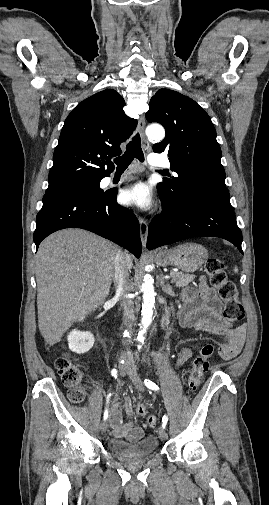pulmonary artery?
I'll use <instances>...</instances> for the list:
<instances>
[{
  "mask_svg": "<svg viewBox=\"0 0 269 505\" xmlns=\"http://www.w3.org/2000/svg\"><path fill=\"white\" fill-rule=\"evenodd\" d=\"M149 164L155 167H169L170 163L166 158H163L157 154H150L148 158ZM112 180V177L109 181Z\"/></svg>",
  "mask_w": 269,
  "mask_h": 505,
  "instance_id": "obj_1",
  "label": "pulmonary artery"
}]
</instances>
